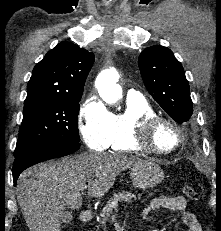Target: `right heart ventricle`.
Masks as SVG:
<instances>
[{"instance_id": "e07e8e85", "label": "right heart ventricle", "mask_w": 221, "mask_h": 231, "mask_svg": "<svg viewBox=\"0 0 221 231\" xmlns=\"http://www.w3.org/2000/svg\"><path fill=\"white\" fill-rule=\"evenodd\" d=\"M155 112L146 99L127 98L124 112L113 115L111 137L108 148L118 152H138L144 150L134 140L136 122Z\"/></svg>"}]
</instances>
